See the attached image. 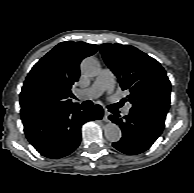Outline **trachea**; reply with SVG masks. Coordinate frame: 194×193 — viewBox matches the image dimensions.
<instances>
[{
  "label": "trachea",
  "mask_w": 194,
  "mask_h": 193,
  "mask_svg": "<svg viewBox=\"0 0 194 193\" xmlns=\"http://www.w3.org/2000/svg\"><path fill=\"white\" fill-rule=\"evenodd\" d=\"M83 105L86 107H91L92 106V101L88 100V101H84Z\"/></svg>",
  "instance_id": "3493384b"
}]
</instances>
